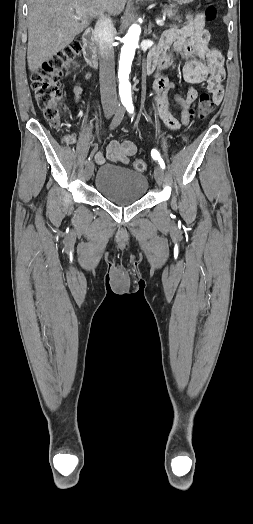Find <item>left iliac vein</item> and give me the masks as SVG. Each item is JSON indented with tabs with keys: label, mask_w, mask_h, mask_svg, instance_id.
Segmentation results:
<instances>
[{
	"label": "left iliac vein",
	"mask_w": 253,
	"mask_h": 524,
	"mask_svg": "<svg viewBox=\"0 0 253 524\" xmlns=\"http://www.w3.org/2000/svg\"><path fill=\"white\" fill-rule=\"evenodd\" d=\"M155 180L159 186H162L164 183V171L160 166H156L154 169Z\"/></svg>",
	"instance_id": "4c4485c4"
}]
</instances>
